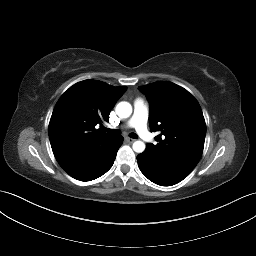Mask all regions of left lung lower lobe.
<instances>
[{
  "instance_id": "1",
  "label": "left lung lower lobe",
  "mask_w": 256,
  "mask_h": 256,
  "mask_svg": "<svg viewBox=\"0 0 256 256\" xmlns=\"http://www.w3.org/2000/svg\"><path fill=\"white\" fill-rule=\"evenodd\" d=\"M138 166L146 178L161 186H172L179 183L189 173L176 170L164 162L152 157L151 152L146 150L137 156Z\"/></svg>"
}]
</instances>
